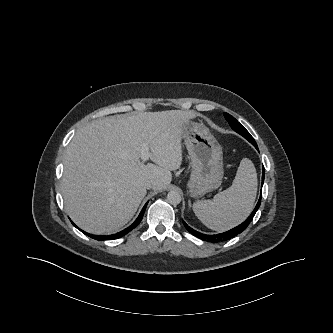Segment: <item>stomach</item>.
Returning <instances> with one entry per match:
<instances>
[{"mask_svg":"<svg viewBox=\"0 0 333 333\" xmlns=\"http://www.w3.org/2000/svg\"><path fill=\"white\" fill-rule=\"evenodd\" d=\"M183 139L192 161L187 186L190 196L199 198L222 183V147L203 123L188 122L184 126Z\"/></svg>","mask_w":333,"mask_h":333,"instance_id":"obj_1","label":"stomach"}]
</instances>
